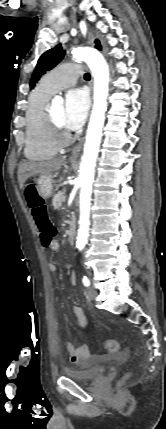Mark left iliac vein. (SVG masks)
<instances>
[{
    "instance_id": "1",
    "label": "left iliac vein",
    "mask_w": 166,
    "mask_h": 429,
    "mask_svg": "<svg viewBox=\"0 0 166 429\" xmlns=\"http://www.w3.org/2000/svg\"><path fill=\"white\" fill-rule=\"evenodd\" d=\"M87 296L90 300H94L97 296V291L94 288L89 287L87 288Z\"/></svg>"
}]
</instances>
